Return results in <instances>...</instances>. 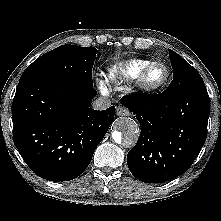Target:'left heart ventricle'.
I'll return each mask as SVG.
<instances>
[{
	"instance_id": "b2bd125f",
	"label": "left heart ventricle",
	"mask_w": 221,
	"mask_h": 221,
	"mask_svg": "<svg viewBox=\"0 0 221 221\" xmlns=\"http://www.w3.org/2000/svg\"><path fill=\"white\" fill-rule=\"evenodd\" d=\"M165 76V69L161 66H157L153 68L149 75H148V81L151 83H157L160 82Z\"/></svg>"
}]
</instances>
